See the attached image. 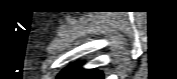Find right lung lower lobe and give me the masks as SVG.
<instances>
[{
	"label": "right lung lower lobe",
	"mask_w": 177,
	"mask_h": 79,
	"mask_svg": "<svg viewBox=\"0 0 177 79\" xmlns=\"http://www.w3.org/2000/svg\"><path fill=\"white\" fill-rule=\"evenodd\" d=\"M59 77L102 79L103 74L97 70H84L80 68V63L70 65L63 70Z\"/></svg>",
	"instance_id": "obj_1"
}]
</instances>
